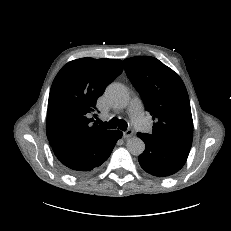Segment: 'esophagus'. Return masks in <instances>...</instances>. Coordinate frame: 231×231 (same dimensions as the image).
Returning <instances> with one entry per match:
<instances>
[{
  "instance_id": "1",
  "label": "esophagus",
  "mask_w": 231,
  "mask_h": 231,
  "mask_svg": "<svg viewBox=\"0 0 231 231\" xmlns=\"http://www.w3.org/2000/svg\"><path fill=\"white\" fill-rule=\"evenodd\" d=\"M134 134L133 130L131 129H128L126 131H123V137L124 138H129V137H132Z\"/></svg>"
}]
</instances>
